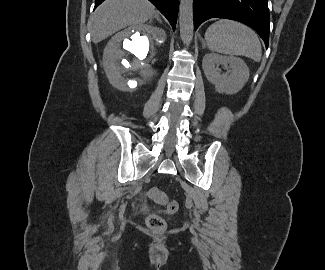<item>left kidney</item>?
Wrapping results in <instances>:
<instances>
[{"label":"left kidney","mask_w":325,"mask_h":270,"mask_svg":"<svg viewBox=\"0 0 325 270\" xmlns=\"http://www.w3.org/2000/svg\"><path fill=\"white\" fill-rule=\"evenodd\" d=\"M219 63L229 66V71L222 74L217 68ZM202 67L206 78L215 85L219 93L235 94L249 79V68L242 59L237 57L209 53L204 56Z\"/></svg>","instance_id":"left-kidney-1"}]
</instances>
